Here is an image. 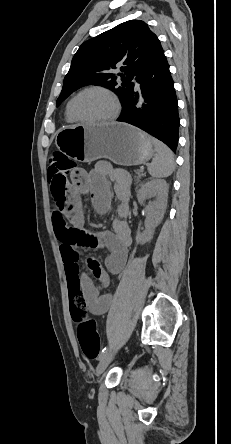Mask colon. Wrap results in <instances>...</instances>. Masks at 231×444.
<instances>
[{"instance_id":"1","label":"colon","mask_w":231,"mask_h":444,"mask_svg":"<svg viewBox=\"0 0 231 444\" xmlns=\"http://www.w3.org/2000/svg\"><path fill=\"white\" fill-rule=\"evenodd\" d=\"M77 164L60 152L50 156L48 167V179L55 184L53 193L56 196L58 188L69 181V177L78 171ZM69 299L71 314L77 324V337L84 355L94 360L100 350V336L96 322L90 318L86 309V300L78 284L69 286Z\"/></svg>"}]
</instances>
